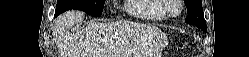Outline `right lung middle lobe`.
Instances as JSON below:
<instances>
[{
    "instance_id": "obj_1",
    "label": "right lung middle lobe",
    "mask_w": 249,
    "mask_h": 57,
    "mask_svg": "<svg viewBox=\"0 0 249 57\" xmlns=\"http://www.w3.org/2000/svg\"><path fill=\"white\" fill-rule=\"evenodd\" d=\"M105 0H58L56 11L77 9L94 17H100L103 11Z\"/></svg>"
}]
</instances>
